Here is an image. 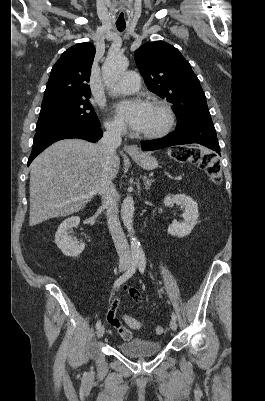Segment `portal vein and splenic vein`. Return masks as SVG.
<instances>
[{
	"label": "portal vein and splenic vein",
	"mask_w": 265,
	"mask_h": 401,
	"mask_svg": "<svg viewBox=\"0 0 265 401\" xmlns=\"http://www.w3.org/2000/svg\"><path fill=\"white\" fill-rule=\"evenodd\" d=\"M175 180L183 181V180H184V177H183L182 174H179L177 177H175Z\"/></svg>",
	"instance_id": "obj_1"
}]
</instances>
